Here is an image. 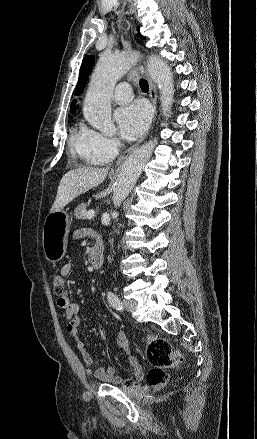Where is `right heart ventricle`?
I'll return each mask as SVG.
<instances>
[{
  "label": "right heart ventricle",
  "mask_w": 257,
  "mask_h": 439,
  "mask_svg": "<svg viewBox=\"0 0 257 439\" xmlns=\"http://www.w3.org/2000/svg\"><path fill=\"white\" fill-rule=\"evenodd\" d=\"M70 150L72 154L86 165H99L104 163L89 150V134L83 128H74L70 137Z\"/></svg>",
  "instance_id": "obj_1"
}]
</instances>
